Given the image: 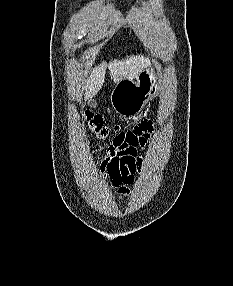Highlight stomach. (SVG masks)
<instances>
[{
  "label": "stomach",
  "mask_w": 233,
  "mask_h": 286,
  "mask_svg": "<svg viewBox=\"0 0 233 286\" xmlns=\"http://www.w3.org/2000/svg\"><path fill=\"white\" fill-rule=\"evenodd\" d=\"M158 70L154 66L143 69L134 82L122 79L111 94V104L122 117H133L143 110L147 102L158 93Z\"/></svg>",
  "instance_id": "obj_1"
}]
</instances>
